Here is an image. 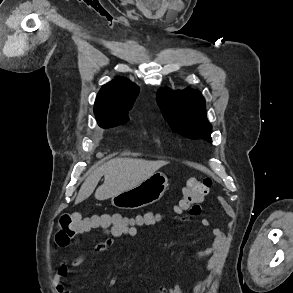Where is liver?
<instances>
[{"instance_id":"obj_1","label":"liver","mask_w":293,"mask_h":293,"mask_svg":"<svg viewBox=\"0 0 293 293\" xmlns=\"http://www.w3.org/2000/svg\"><path fill=\"white\" fill-rule=\"evenodd\" d=\"M165 161L115 158L92 170L76 197L75 204L87 199L104 176V183L95 192L97 200H106L129 190L152 176Z\"/></svg>"}]
</instances>
